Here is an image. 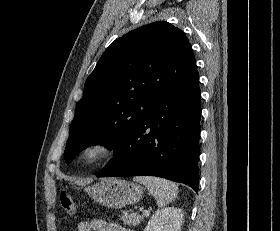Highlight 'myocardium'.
I'll list each match as a JSON object with an SVG mask.
<instances>
[{
    "mask_svg": "<svg viewBox=\"0 0 280 231\" xmlns=\"http://www.w3.org/2000/svg\"><path fill=\"white\" fill-rule=\"evenodd\" d=\"M103 146L104 147V153L103 156L99 161H97L95 164L92 165H86L82 162V157L85 151L93 146ZM120 151V144L119 141L112 136H98L94 137L87 142H85L81 148L78 151L77 154V161L79 165L85 169V170H95L103 165H105L107 162H109L111 159H113Z\"/></svg>",
    "mask_w": 280,
    "mask_h": 231,
    "instance_id": "obj_1",
    "label": "myocardium"
}]
</instances>
